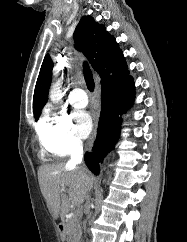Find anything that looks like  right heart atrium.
<instances>
[{
  "mask_svg": "<svg viewBox=\"0 0 187 242\" xmlns=\"http://www.w3.org/2000/svg\"><path fill=\"white\" fill-rule=\"evenodd\" d=\"M41 144L52 154L67 156L81 149L72 120L65 113L45 111L38 129Z\"/></svg>",
  "mask_w": 187,
  "mask_h": 242,
  "instance_id": "right-heart-atrium-1",
  "label": "right heart atrium"
}]
</instances>
